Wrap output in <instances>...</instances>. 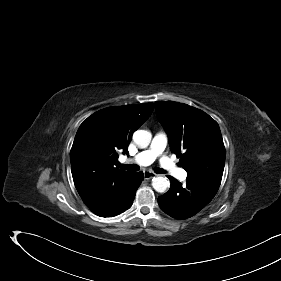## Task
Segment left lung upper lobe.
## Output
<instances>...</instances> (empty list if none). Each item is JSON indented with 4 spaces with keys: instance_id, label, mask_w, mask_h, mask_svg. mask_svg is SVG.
<instances>
[{
    "instance_id": "1",
    "label": "left lung upper lobe",
    "mask_w": 281,
    "mask_h": 281,
    "mask_svg": "<svg viewBox=\"0 0 281 281\" xmlns=\"http://www.w3.org/2000/svg\"><path fill=\"white\" fill-rule=\"evenodd\" d=\"M159 121L166 130L170 148L179 165L191 177L220 186L225 147L218 123L208 114L178 102H155Z\"/></svg>"
}]
</instances>
